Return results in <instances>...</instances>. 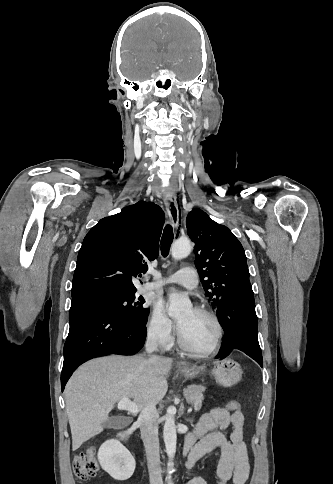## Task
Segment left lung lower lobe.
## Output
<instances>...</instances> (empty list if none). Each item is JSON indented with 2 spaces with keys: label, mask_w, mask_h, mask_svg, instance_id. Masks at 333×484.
<instances>
[{
  "label": "left lung lower lobe",
  "mask_w": 333,
  "mask_h": 484,
  "mask_svg": "<svg viewBox=\"0 0 333 484\" xmlns=\"http://www.w3.org/2000/svg\"><path fill=\"white\" fill-rule=\"evenodd\" d=\"M236 297V302L230 299ZM217 316L224 330L223 346L215 356L226 358L238 349L263 366L262 353L258 342V320L255 312L254 294L250 282L231 288L217 307Z\"/></svg>",
  "instance_id": "left-lung-lower-lobe-1"
}]
</instances>
